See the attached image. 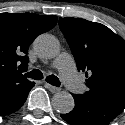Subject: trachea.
I'll return each mask as SVG.
<instances>
[{
  "instance_id": "trachea-1",
  "label": "trachea",
  "mask_w": 125,
  "mask_h": 125,
  "mask_svg": "<svg viewBox=\"0 0 125 125\" xmlns=\"http://www.w3.org/2000/svg\"><path fill=\"white\" fill-rule=\"evenodd\" d=\"M28 78H32L35 80H41L43 78V74L40 70L34 69L25 74ZM46 81L56 87L60 86V81L55 75H49L46 77Z\"/></svg>"
}]
</instances>
